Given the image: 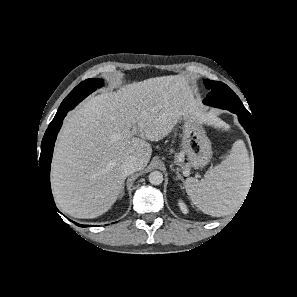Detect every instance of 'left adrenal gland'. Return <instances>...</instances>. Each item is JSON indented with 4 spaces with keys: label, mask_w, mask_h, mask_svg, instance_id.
I'll return each instance as SVG.
<instances>
[{
    "label": "left adrenal gland",
    "mask_w": 297,
    "mask_h": 297,
    "mask_svg": "<svg viewBox=\"0 0 297 297\" xmlns=\"http://www.w3.org/2000/svg\"><path fill=\"white\" fill-rule=\"evenodd\" d=\"M172 171L176 172V180H181L183 183H185L183 176L180 174L179 169H175L171 166Z\"/></svg>",
    "instance_id": "a2214340"
}]
</instances>
